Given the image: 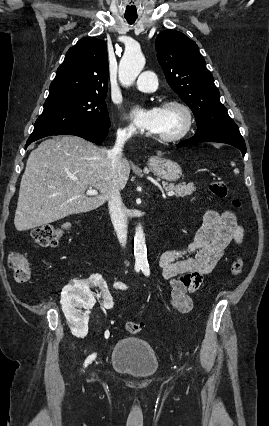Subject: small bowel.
Here are the masks:
<instances>
[{
  "label": "small bowel",
  "mask_w": 269,
  "mask_h": 426,
  "mask_svg": "<svg viewBox=\"0 0 269 426\" xmlns=\"http://www.w3.org/2000/svg\"><path fill=\"white\" fill-rule=\"evenodd\" d=\"M243 227L233 211L207 210L194 240L184 249L165 250L159 255L163 278L172 288L170 305L180 313L193 308L190 294L197 291L232 244L243 240ZM108 335V332H105Z\"/></svg>",
  "instance_id": "1"
}]
</instances>
